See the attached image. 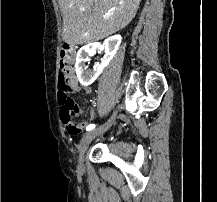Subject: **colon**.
Masks as SVG:
<instances>
[{
	"mask_svg": "<svg viewBox=\"0 0 217 202\" xmlns=\"http://www.w3.org/2000/svg\"><path fill=\"white\" fill-rule=\"evenodd\" d=\"M61 63L56 74L57 78L63 80V82H58V91L56 97V102H62L60 106L59 117H65L66 120H62V125H66L67 130L74 135L80 134L82 131L81 125L74 119L75 112H78V106L74 102L72 96L73 82H70V78L74 77L75 64L74 59H71L73 55V47H61L60 51Z\"/></svg>",
	"mask_w": 217,
	"mask_h": 202,
	"instance_id": "obj_1",
	"label": "colon"
}]
</instances>
